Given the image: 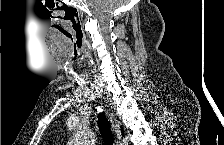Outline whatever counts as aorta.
<instances>
[{
    "instance_id": "obj_1",
    "label": "aorta",
    "mask_w": 224,
    "mask_h": 145,
    "mask_svg": "<svg viewBox=\"0 0 224 145\" xmlns=\"http://www.w3.org/2000/svg\"><path fill=\"white\" fill-rule=\"evenodd\" d=\"M74 145H92L94 143V137L92 132L87 128L79 129L72 140Z\"/></svg>"
}]
</instances>
